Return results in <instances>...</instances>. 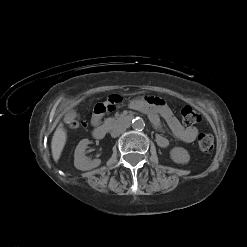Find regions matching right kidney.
Returning a JSON list of instances; mask_svg holds the SVG:
<instances>
[{"label": "right kidney", "instance_id": "ca27d5eb", "mask_svg": "<svg viewBox=\"0 0 247 247\" xmlns=\"http://www.w3.org/2000/svg\"><path fill=\"white\" fill-rule=\"evenodd\" d=\"M89 143L90 141L88 139H83L79 142L75 149L74 166L82 171L91 170L101 164L100 159L90 160L87 156H85V150Z\"/></svg>", "mask_w": 247, "mask_h": 247}]
</instances>
